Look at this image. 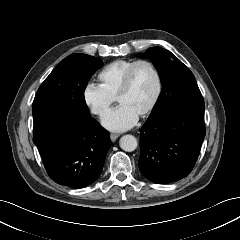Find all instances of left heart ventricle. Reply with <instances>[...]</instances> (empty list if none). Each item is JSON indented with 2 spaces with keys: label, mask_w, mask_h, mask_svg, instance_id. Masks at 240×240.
<instances>
[{
  "label": "left heart ventricle",
  "mask_w": 240,
  "mask_h": 240,
  "mask_svg": "<svg viewBox=\"0 0 240 240\" xmlns=\"http://www.w3.org/2000/svg\"><path fill=\"white\" fill-rule=\"evenodd\" d=\"M156 88L157 82L152 70L147 65H139L133 73L129 92L121 98L119 103L140 116L151 103Z\"/></svg>",
  "instance_id": "1"
}]
</instances>
